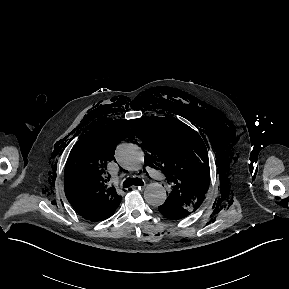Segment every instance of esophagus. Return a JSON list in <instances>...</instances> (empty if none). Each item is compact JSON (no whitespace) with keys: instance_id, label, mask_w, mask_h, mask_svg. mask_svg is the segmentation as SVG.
<instances>
[{"instance_id":"obj_1","label":"esophagus","mask_w":289,"mask_h":289,"mask_svg":"<svg viewBox=\"0 0 289 289\" xmlns=\"http://www.w3.org/2000/svg\"><path fill=\"white\" fill-rule=\"evenodd\" d=\"M146 185H141V186H134L133 188H138L139 190H143L145 188Z\"/></svg>"}]
</instances>
